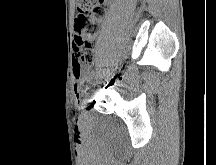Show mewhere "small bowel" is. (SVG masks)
I'll return each mask as SVG.
<instances>
[{
	"instance_id": "1",
	"label": "small bowel",
	"mask_w": 216,
	"mask_h": 165,
	"mask_svg": "<svg viewBox=\"0 0 216 165\" xmlns=\"http://www.w3.org/2000/svg\"><path fill=\"white\" fill-rule=\"evenodd\" d=\"M85 73V70L81 64H79L76 60L73 62V76L76 81L75 83V93L77 97L81 94V80L82 76Z\"/></svg>"
}]
</instances>
